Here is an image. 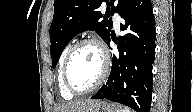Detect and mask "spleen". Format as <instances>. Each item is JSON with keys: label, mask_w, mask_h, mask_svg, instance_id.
<instances>
[{"label": "spleen", "mask_w": 193, "mask_h": 112, "mask_svg": "<svg viewBox=\"0 0 193 112\" xmlns=\"http://www.w3.org/2000/svg\"><path fill=\"white\" fill-rule=\"evenodd\" d=\"M117 112H130V110L128 108H125V109L117 110Z\"/></svg>", "instance_id": "spleen-1"}]
</instances>
